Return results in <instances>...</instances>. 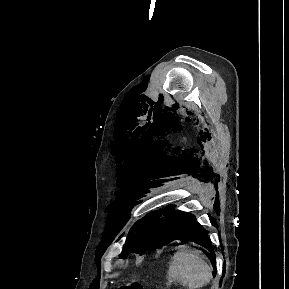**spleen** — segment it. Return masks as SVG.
Instances as JSON below:
<instances>
[{
    "label": "spleen",
    "instance_id": "spleen-1",
    "mask_svg": "<svg viewBox=\"0 0 289 289\" xmlns=\"http://www.w3.org/2000/svg\"><path fill=\"white\" fill-rule=\"evenodd\" d=\"M170 283L179 282L187 289H200L212 279V269L199 251L180 249L177 251L167 271Z\"/></svg>",
    "mask_w": 289,
    "mask_h": 289
}]
</instances>
